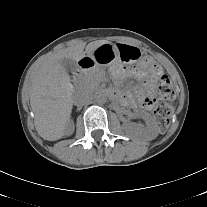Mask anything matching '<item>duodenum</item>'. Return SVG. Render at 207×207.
<instances>
[{
	"mask_svg": "<svg viewBox=\"0 0 207 207\" xmlns=\"http://www.w3.org/2000/svg\"><path fill=\"white\" fill-rule=\"evenodd\" d=\"M93 66H94V63H93L92 60H90V59L82 60V61L79 63L78 68L71 74V80H72L73 82H75V81L77 80V78L79 77V75H80L83 71H85V70H87V69H89V68H91V67H93Z\"/></svg>",
	"mask_w": 207,
	"mask_h": 207,
	"instance_id": "duodenum-1",
	"label": "duodenum"
}]
</instances>
